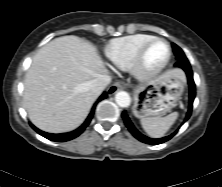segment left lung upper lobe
<instances>
[{"instance_id": "1", "label": "left lung upper lobe", "mask_w": 222, "mask_h": 187, "mask_svg": "<svg viewBox=\"0 0 222 187\" xmlns=\"http://www.w3.org/2000/svg\"><path fill=\"white\" fill-rule=\"evenodd\" d=\"M174 54L176 56L177 61H188L184 52L180 47H178L176 44H172Z\"/></svg>"}]
</instances>
